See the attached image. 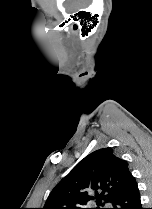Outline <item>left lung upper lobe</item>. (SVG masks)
<instances>
[{"label": "left lung upper lobe", "mask_w": 152, "mask_h": 209, "mask_svg": "<svg viewBox=\"0 0 152 209\" xmlns=\"http://www.w3.org/2000/svg\"><path fill=\"white\" fill-rule=\"evenodd\" d=\"M132 174L128 163L113 154L112 148L92 152L82 159L50 193L43 209H85L96 199L112 202Z\"/></svg>", "instance_id": "1"}]
</instances>
